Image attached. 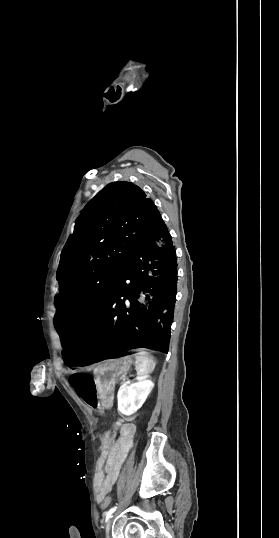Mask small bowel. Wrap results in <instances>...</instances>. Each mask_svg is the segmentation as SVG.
<instances>
[{"mask_svg": "<svg viewBox=\"0 0 279 538\" xmlns=\"http://www.w3.org/2000/svg\"><path fill=\"white\" fill-rule=\"evenodd\" d=\"M70 385L76 395L90 408L102 412V407L98 400L96 384L94 378L85 373H76L70 378ZM120 435L116 442L104 443L100 436L102 445L98 464L100 474L98 475V497L103 499L111 492L116 483L120 469L125 462L129 451L133 446L135 426L131 423L118 425Z\"/></svg>", "mask_w": 279, "mask_h": 538, "instance_id": "1", "label": "small bowel"}]
</instances>
